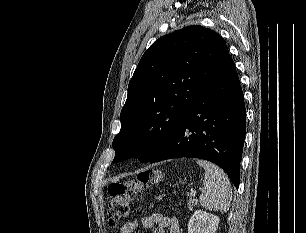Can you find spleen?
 Segmentation results:
<instances>
[{
  "label": "spleen",
  "instance_id": "3e777b00",
  "mask_svg": "<svg viewBox=\"0 0 306 233\" xmlns=\"http://www.w3.org/2000/svg\"><path fill=\"white\" fill-rule=\"evenodd\" d=\"M197 164L205 170L203 185L206 191L200 196V204L209 210L227 212L232 199V190L227 175L211 162L197 160Z\"/></svg>",
  "mask_w": 306,
  "mask_h": 233
}]
</instances>
